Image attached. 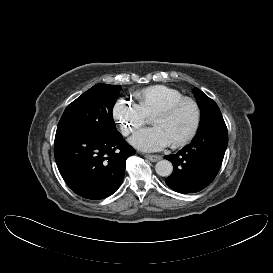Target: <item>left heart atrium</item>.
Instances as JSON below:
<instances>
[{
    "mask_svg": "<svg viewBox=\"0 0 273 273\" xmlns=\"http://www.w3.org/2000/svg\"><path fill=\"white\" fill-rule=\"evenodd\" d=\"M130 143L140 151L152 152L170 145L166 136L157 127L147 128L136 132Z\"/></svg>",
    "mask_w": 273,
    "mask_h": 273,
    "instance_id": "39dd6f15",
    "label": "left heart atrium"
}]
</instances>
